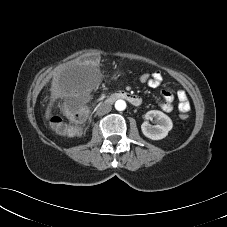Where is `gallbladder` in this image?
Returning a JSON list of instances; mask_svg holds the SVG:
<instances>
[{
    "instance_id": "obj_1",
    "label": "gallbladder",
    "mask_w": 227,
    "mask_h": 227,
    "mask_svg": "<svg viewBox=\"0 0 227 227\" xmlns=\"http://www.w3.org/2000/svg\"><path fill=\"white\" fill-rule=\"evenodd\" d=\"M93 60L96 61V58L94 57Z\"/></svg>"
}]
</instances>
